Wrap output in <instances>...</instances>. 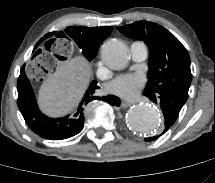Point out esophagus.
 Wrapping results in <instances>:
<instances>
[{
  "mask_svg": "<svg viewBox=\"0 0 215 183\" xmlns=\"http://www.w3.org/2000/svg\"><path fill=\"white\" fill-rule=\"evenodd\" d=\"M134 102L133 101H126V100H123L122 102H121V107L122 108H127V107H129L130 105H132Z\"/></svg>",
  "mask_w": 215,
  "mask_h": 183,
  "instance_id": "34e87169",
  "label": "esophagus"
}]
</instances>
